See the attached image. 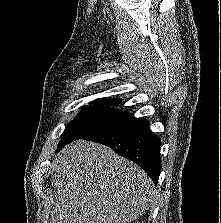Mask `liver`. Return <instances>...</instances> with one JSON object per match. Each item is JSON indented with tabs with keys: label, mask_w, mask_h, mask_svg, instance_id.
I'll return each mask as SVG.
<instances>
[{
	"label": "liver",
	"mask_w": 221,
	"mask_h": 223,
	"mask_svg": "<svg viewBox=\"0 0 221 223\" xmlns=\"http://www.w3.org/2000/svg\"><path fill=\"white\" fill-rule=\"evenodd\" d=\"M51 175L55 199L49 223H131L156 197L138 165L94 142L78 140L64 147Z\"/></svg>",
	"instance_id": "liver-1"
}]
</instances>
